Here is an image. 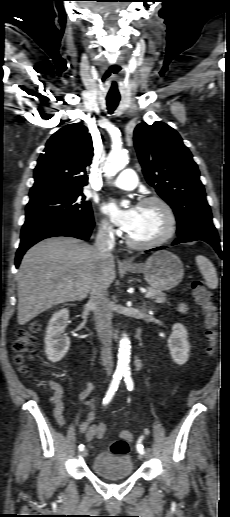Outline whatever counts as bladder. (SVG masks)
Masks as SVG:
<instances>
[{
    "mask_svg": "<svg viewBox=\"0 0 230 517\" xmlns=\"http://www.w3.org/2000/svg\"><path fill=\"white\" fill-rule=\"evenodd\" d=\"M92 472L106 479H120L133 474V463L129 456L100 452L93 459Z\"/></svg>",
    "mask_w": 230,
    "mask_h": 517,
    "instance_id": "1",
    "label": "bladder"
}]
</instances>
